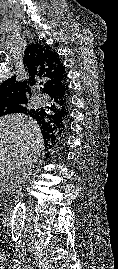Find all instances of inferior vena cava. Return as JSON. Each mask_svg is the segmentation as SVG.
<instances>
[{
    "instance_id": "obj_1",
    "label": "inferior vena cava",
    "mask_w": 118,
    "mask_h": 269,
    "mask_svg": "<svg viewBox=\"0 0 118 269\" xmlns=\"http://www.w3.org/2000/svg\"><path fill=\"white\" fill-rule=\"evenodd\" d=\"M33 160H24L18 165L17 171L14 176V181L17 189L18 196L20 195L23 187L27 183V181L30 179V176L32 175V170L34 166ZM18 202L19 197L17 198Z\"/></svg>"
}]
</instances>
